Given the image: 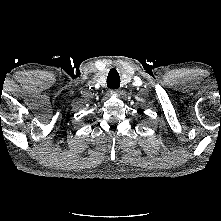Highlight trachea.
Returning a JSON list of instances; mask_svg holds the SVG:
<instances>
[{
    "mask_svg": "<svg viewBox=\"0 0 221 221\" xmlns=\"http://www.w3.org/2000/svg\"><path fill=\"white\" fill-rule=\"evenodd\" d=\"M107 86L109 88H119L120 86V77L119 73L115 69H111L109 71L108 77H107Z\"/></svg>",
    "mask_w": 221,
    "mask_h": 221,
    "instance_id": "3493384b",
    "label": "trachea"
}]
</instances>
